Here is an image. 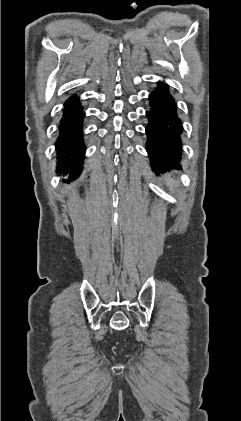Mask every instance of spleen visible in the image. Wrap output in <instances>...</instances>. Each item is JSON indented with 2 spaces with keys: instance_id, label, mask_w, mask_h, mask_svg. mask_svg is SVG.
I'll return each instance as SVG.
<instances>
[{
  "instance_id": "1",
  "label": "spleen",
  "mask_w": 241,
  "mask_h": 421,
  "mask_svg": "<svg viewBox=\"0 0 241 421\" xmlns=\"http://www.w3.org/2000/svg\"><path fill=\"white\" fill-rule=\"evenodd\" d=\"M173 184H174V182H173L172 180H169V181H168V185H169L170 187H172V186H173Z\"/></svg>"
}]
</instances>
